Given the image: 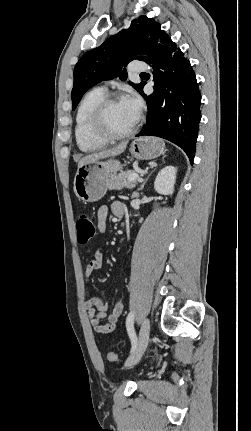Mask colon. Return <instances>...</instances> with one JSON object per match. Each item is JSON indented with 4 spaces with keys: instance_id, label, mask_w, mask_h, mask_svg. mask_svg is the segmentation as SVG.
Returning a JSON list of instances; mask_svg holds the SVG:
<instances>
[{
    "instance_id": "colon-1",
    "label": "colon",
    "mask_w": 251,
    "mask_h": 431,
    "mask_svg": "<svg viewBox=\"0 0 251 431\" xmlns=\"http://www.w3.org/2000/svg\"><path fill=\"white\" fill-rule=\"evenodd\" d=\"M77 240L81 245H86L95 237L96 229L91 217L87 214H81L76 221ZM110 362H117L119 357L117 354L110 352L107 355Z\"/></svg>"
}]
</instances>
